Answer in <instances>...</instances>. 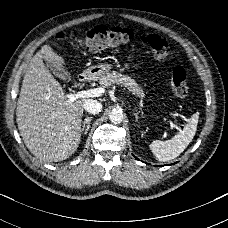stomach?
Wrapping results in <instances>:
<instances>
[{"label":"stomach","instance_id":"1","mask_svg":"<svg viewBox=\"0 0 228 228\" xmlns=\"http://www.w3.org/2000/svg\"><path fill=\"white\" fill-rule=\"evenodd\" d=\"M112 68L113 65L103 63L85 69L83 74L87 79L98 80L108 75Z\"/></svg>","mask_w":228,"mask_h":228}]
</instances>
